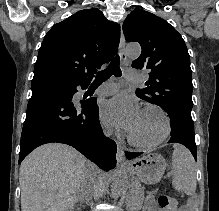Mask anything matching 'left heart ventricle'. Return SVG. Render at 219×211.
<instances>
[{
  "label": "left heart ventricle",
  "mask_w": 219,
  "mask_h": 211,
  "mask_svg": "<svg viewBox=\"0 0 219 211\" xmlns=\"http://www.w3.org/2000/svg\"><path fill=\"white\" fill-rule=\"evenodd\" d=\"M164 130L162 115L153 109L140 112L137 123L129 132L136 140L151 142L158 139Z\"/></svg>",
  "instance_id": "1"
}]
</instances>
